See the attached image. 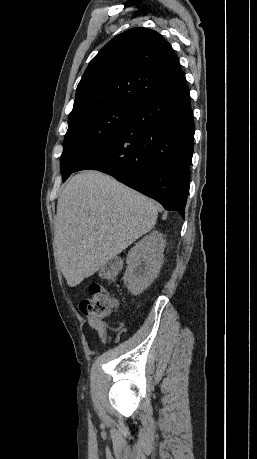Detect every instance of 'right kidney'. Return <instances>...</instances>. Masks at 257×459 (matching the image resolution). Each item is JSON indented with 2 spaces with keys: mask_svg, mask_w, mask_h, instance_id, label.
Returning <instances> with one entry per match:
<instances>
[{
  "mask_svg": "<svg viewBox=\"0 0 257 459\" xmlns=\"http://www.w3.org/2000/svg\"><path fill=\"white\" fill-rule=\"evenodd\" d=\"M165 243L163 234L153 231L128 252L123 281L133 295L142 293L157 277L163 264Z\"/></svg>",
  "mask_w": 257,
  "mask_h": 459,
  "instance_id": "obj_1",
  "label": "right kidney"
}]
</instances>
